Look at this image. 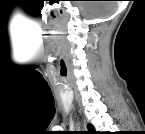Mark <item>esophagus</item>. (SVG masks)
I'll list each match as a JSON object with an SVG mask.
<instances>
[{
	"label": "esophagus",
	"instance_id": "34e87169",
	"mask_svg": "<svg viewBox=\"0 0 145 134\" xmlns=\"http://www.w3.org/2000/svg\"><path fill=\"white\" fill-rule=\"evenodd\" d=\"M84 129L86 130V125H85V123H84Z\"/></svg>",
	"mask_w": 145,
	"mask_h": 134
}]
</instances>
